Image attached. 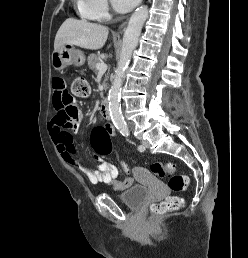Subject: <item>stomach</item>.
Wrapping results in <instances>:
<instances>
[{"instance_id": "stomach-1", "label": "stomach", "mask_w": 248, "mask_h": 258, "mask_svg": "<svg viewBox=\"0 0 248 258\" xmlns=\"http://www.w3.org/2000/svg\"><path fill=\"white\" fill-rule=\"evenodd\" d=\"M51 62L55 70L62 71L67 66H82L85 63V55L73 45L65 44L58 51H54Z\"/></svg>"}]
</instances>
